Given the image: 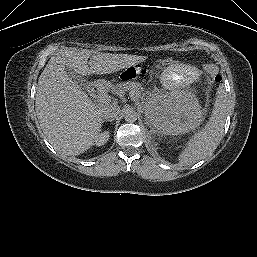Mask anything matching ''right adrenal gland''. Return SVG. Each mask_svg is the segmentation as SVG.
I'll return each mask as SVG.
<instances>
[{"instance_id":"1","label":"right adrenal gland","mask_w":257,"mask_h":257,"mask_svg":"<svg viewBox=\"0 0 257 257\" xmlns=\"http://www.w3.org/2000/svg\"><path fill=\"white\" fill-rule=\"evenodd\" d=\"M114 119H111V120H103L102 123L104 122H112Z\"/></svg>"}]
</instances>
